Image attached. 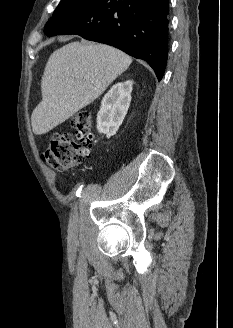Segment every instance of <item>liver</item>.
Listing matches in <instances>:
<instances>
[{
  "label": "liver",
  "mask_w": 233,
  "mask_h": 328,
  "mask_svg": "<svg viewBox=\"0 0 233 328\" xmlns=\"http://www.w3.org/2000/svg\"><path fill=\"white\" fill-rule=\"evenodd\" d=\"M132 63L104 44L72 42L49 57L41 80L42 100L31 115L36 135L50 130L97 99Z\"/></svg>",
  "instance_id": "obj_1"
}]
</instances>
